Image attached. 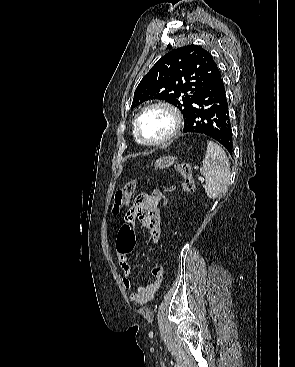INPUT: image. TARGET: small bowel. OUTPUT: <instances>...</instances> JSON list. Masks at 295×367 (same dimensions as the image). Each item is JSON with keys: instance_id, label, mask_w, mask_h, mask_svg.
Returning a JSON list of instances; mask_svg holds the SVG:
<instances>
[{"instance_id": "c3829d8e", "label": "small bowel", "mask_w": 295, "mask_h": 367, "mask_svg": "<svg viewBox=\"0 0 295 367\" xmlns=\"http://www.w3.org/2000/svg\"><path fill=\"white\" fill-rule=\"evenodd\" d=\"M163 194L155 189L151 192L140 193L134 200L132 208L125 216L124 224H129L133 230L135 221H139L142 226L149 232L154 244L160 242L161 237V211L160 201ZM133 248V247H132ZM132 248H122L118 240L116 243V255L119 266L124 273L122 283L125 289L131 290L133 284L130 279L131 264L128 254ZM151 274L154 281L137 287L130 294V300L138 305H145L150 302L164 280V269L162 266L153 267Z\"/></svg>"}]
</instances>
